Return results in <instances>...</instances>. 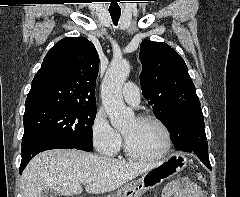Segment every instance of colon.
<instances>
[{"label": "colon", "instance_id": "5ec220e1", "mask_svg": "<svg viewBox=\"0 0 240 197\" xmlns=\"http://www.w3.org/2000/svg\"><path fill=\"white\" fill-rule=\"evenodd\" d=\"M196 178L198 181L202 183L206 182V176L203 173H197Z\"/></svg>", "mask_w": 240, "mask_h": 197}]
</instances>
